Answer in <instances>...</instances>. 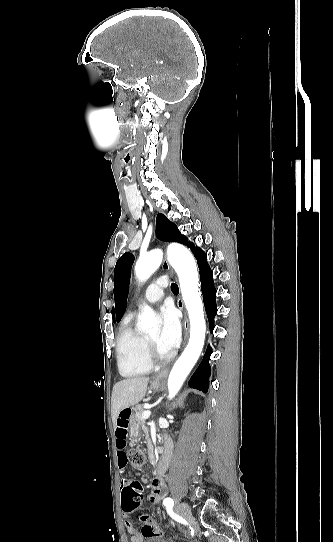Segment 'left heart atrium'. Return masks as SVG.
I'll use <instances>...</instances> for the list:
<instances>
[{
	"mask_svg": "<svg viewBox=\"0 0 333 542\" xmlns=\"http://www.w3.org/2000/svg\"><path fill=\"white\" fill-rule=\"evenodd\" d=\"M162 329L159 334V344L172 354L176 351L181 337V323L179 316L171 305H165L161 310Z\"/></svg>",
	"mask_w": 333,
	"mask_h": 542,
	"instance_id": "1",
	"label": "left heart atrium"
}]
</instances>
